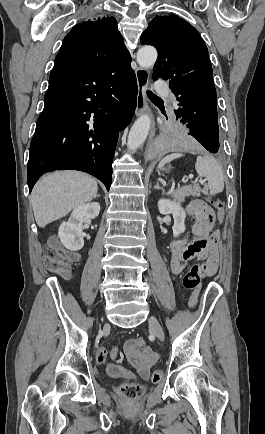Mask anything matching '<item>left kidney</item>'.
<instances>
[{
	"mask_svg": "<svg viewBox=\"0 0 265 434\" xmlns=\"http://www.w3.org/2000/svg\"><path fill=\"white\" fill-rule=\"evenodd\" d=\"M158 210L160 214H173L174 226L173 236L174 238H178L180 234L185 232V218L186 212L184 208H181L180 204L177 202H171V200H159L158 202Z\"/></svg>",
	"mask_w": 265,
	"mask_h": 434,
	"instance_id": "obj_1",
	"label": "left kidney"
}]
</instances>
